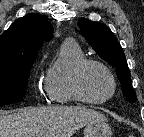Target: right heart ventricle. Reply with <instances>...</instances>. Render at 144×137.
<instances>
[{
    "label": "right heart ventricle",
    "mask_w": 144,
    "mask_h": 137,
    "mask_svg": "<svg viewBox=\"0 0 144 137\" xmlns=\"http://www.w3.org/2000/svg\"><path fill=\"white\" fill-rule=\"evenodd\" d=\"M86 56L74 40H65L57 50L52 62L48 66L44 86L50 100L55 104H71L78 100L72 89V78L75 69Z\"/></svg>",
    "instance_id": "1"
}]
</instances>
